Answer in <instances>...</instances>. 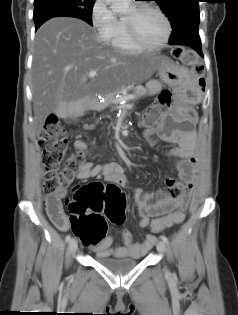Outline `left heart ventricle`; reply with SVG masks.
I'll return each mask as SVG.
<instances>
[{"instance_id":"1","label":"left heart ventricle","mask_w":238,"mask_h":315,"mask_svg":"<svg viewBox=\"0 0 238 315\" xmlns=\"http://www.w3.org/2000/svg\"><path fill=\"white\" fill-rule=\"evenodd\" d=\"M133 8L126 16H130ZM136 28L139 37L147 44L155 45L161 42L166 34V26L162 18L153 11H145L136 18Z\"/></svg>"}]
</instances>
